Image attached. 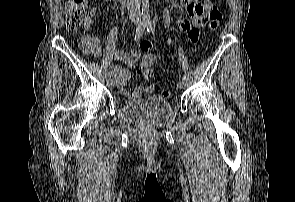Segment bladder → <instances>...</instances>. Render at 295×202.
Instances as JSON below:
<instances>
[{
    "mask_svg": "<svg viewBox=\"0 0 295 202\" xmlns=\"http://www.w3.org/2000/svg\"><path fill=\"white\" fill-rule=\"evenodd\" d=\"M121 111L127 120L146 126L162 125L173 114L170 102L159 95L127 101Z\"/></svg>",
    "mask_w": 295,
    "mask_h": 202,
    "instance_id": "obj_1",
    "label": "bladder"
}]
</instances>
